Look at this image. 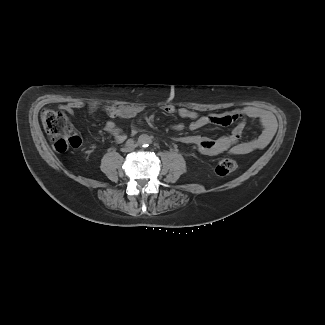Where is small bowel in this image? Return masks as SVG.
Returning a JSON list of instances; mask_svg holds the SVG:
<instances>
[{"label": "small bowel", "mask_w": 325, "mask_h": 325, "mask_svg": "<svg viewBox=\"0 0 325 325\" xmlns=\"http://www.w3.org/2000/svg\"><path fill=\"white\" fill-rule=\"evenodd\" d=\"M83 107L81 102H73L63 106L72 114L74 110ZM162 113L175 115L183 119H188L189 123H174L170 129L175 132L195 131L208 125L230 126L234 125L230 134L219 138H207L200 135H180L174 139L180 143L194 146L199 152L209 155L229 153L232 155H243L250 152L264 149L271 141L275 132V121L273 115L261 108L254 106H244L224 114L202 115L197 111L184 107H176L173 104H163L160 107ZM142 109L133 106H107L104 112L110 117L104 123V130L112 137L116 143H123L127 139V134L116 124L113 118L130 119L136 117ZM253 119L261 125V132L251 140L244 139L246 121ZM139 131L136 125L132 126L131 134L135 135ZM80 143L81 140L77 137Z\"/></svg>", "instance_id": "obj_1"}]
</instances>
